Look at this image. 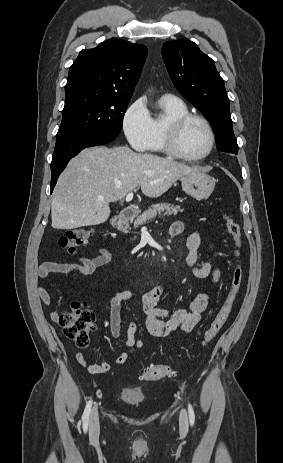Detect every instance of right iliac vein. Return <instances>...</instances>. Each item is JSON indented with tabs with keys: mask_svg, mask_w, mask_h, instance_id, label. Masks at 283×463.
Here are the masks:
<instances>
[{
	"mask_svg": "<svg viewBox=\"0 0 283 463\" xmlns=\"http://www.w3.org/2000/svg\"><path fill=\"white\" fill-rule=\"evenodd\" d=\"M89 431L91 437H97L99 433V416L97 406L92 409L90 414Z\"/></svg>",
	"mask_w": 283,
	"mask_h": 463,
	"instance_id": "1",
	"label": "right iliac vein"
}]
</instances>
